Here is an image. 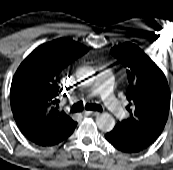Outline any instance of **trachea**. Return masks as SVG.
Segmentation results:
<instances>
[{"mask_svg":"<svg viewBox=\"0 0 173 170\" xmlns=\"http://www.w3.org/2000/svg\"><path fill=\"white\" fill-rule=\"evenodd\" d=\"M85 108L92 111H102V107L99 104H86ZM83 110V102H77L71 107V112H80Z\"/></svg>","mask_w":173,"mask_h":170,"instance_id":"trachea-1","label":"trachea"}]
</instances>
